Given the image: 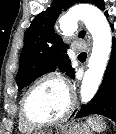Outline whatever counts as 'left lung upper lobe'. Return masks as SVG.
Here are the masks:
<instances>
[{"label":"left lung upper lobe","mask_w":116,"mask_h":134,"mask_svg":"<svg viewBox=\"0 0 116 134\" xmlns=\"http://www.w3.org/2000/svg\"><path fill=\"white\" fill-rule=\"evenodd\" d=\"M79 2H89L104 10L103 0H54L49 8L34 18L25 32L24 47L16 76L18 90H22L36 78L53 72L56 68L66 72L69 77H74L69 56L65 54L68 45L55 33L54 23L62 10ZM84 36L85 32L81 31L79 37Z\"/></svg>","instance_id":"1"}]
</instances>
